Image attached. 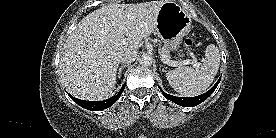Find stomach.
I'll return each instance as SVG.
<instances>
[{"mask_svg":"<svg viewBox=\"0 0 276 138\" xmlns=\"http://www.w3.org/2000/svg\"><path fill=\"white\" fill-rule=\"evenodd\" d=\"M191 17L176 2L167 1L159 9L156 31L170 50L179 47L182 38L190 31Z\"/></svg>","mask_w":276,"mask_h":138,"instance_id":"stomach-1","label":"stomach"}]
</instances>
